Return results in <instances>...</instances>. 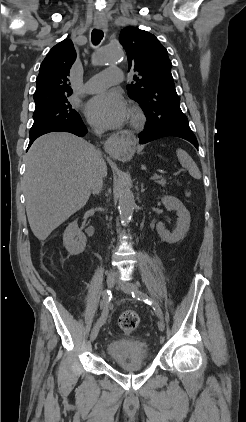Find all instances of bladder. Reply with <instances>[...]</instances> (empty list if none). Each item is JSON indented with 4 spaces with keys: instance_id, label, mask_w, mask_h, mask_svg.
<instances>
[{
    "instance_id": "bladder-1",
    "label": "bladder",
    "mask_w": 246,
    "mask_h": 422,
    "mask_svg": "<svg viewBox=\"0 0 246 422\" xmlns=\"http://www.w3.org/2000/svg\"><path fill=\"white\" fill-rule=\"evenodd\" d=\"M109 359L119 366L143 364L148 361L147 346L134 339H115L107 344Z\"/></svg>"
}]
</instances>
